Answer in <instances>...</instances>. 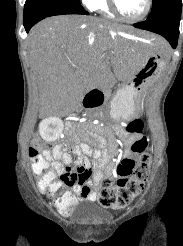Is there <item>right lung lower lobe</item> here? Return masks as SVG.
Listing matches in <instances>:
<instances>
[{
  "label": "right lung lower lobe",
  "instance_id": "obj_1",
  "mask_svg": "<svg viewBox=\"0 0 183 246\" xmlns=\"http://www.w3.org/2000/svg\"><path fill=\"white\" fill-rule=\"evenodd\" d=\"M64 14L88 15L89 13L85 9H83L82 6L73 5V6L57 7L39 13L24 14L23 23H24L25 30L28 33L33 25H35L37 22H39L40 20L46 17L55 16V15H64Z\"/></svg>",
  "mask_w": 183,
  "mask_h": 246
}]
</instances>
